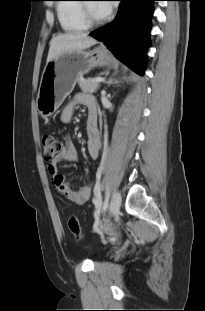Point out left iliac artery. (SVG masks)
Wrapping results in <instances>:
<instances>
[{"label": "left iliac artery", "instance_id": "obj_1", "mask_svg": "<svg viewBox=\"0 0 205 311\" xmlns=\"http://www.w3.org/2000/svg\"><path fill=\"white\" fill-rule=\"evenodd\" d=\"M99 178H100V174H98V176H97V179L99 180ZM108 201H109V192L107 191L106 192V197H105V200H104V203H103V205H102V202H101V197H100V199H96L95 201H94V204L96 205V207H101V205H102V209L103 210H106L107 209V206H108Z\"/></svg>", "mask_w": 205, "mask_h": 311}]
</instances>
